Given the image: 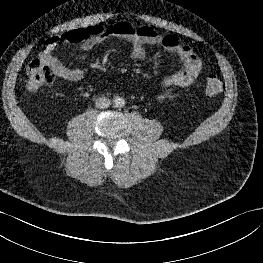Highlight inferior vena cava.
I'll return each mask as SVG.
<instances>
[{
	"instance_id": "inferior-vena-cava-1",
	"label": "inferior vena cava",
	"mask_w": 263,
	"mask_h": 263,
	"mask_svg": "<svg viewBox=\"0 0 263 263\" xmlns=\"http://www.w3.org/2000/svg\"><path fill=\"white\" fill-rule=\"evenodd\" d=\"M111 104V101L106 97H98L95 101V105L99 109L108 108Z\"/></svg>"
}]
</instances>
